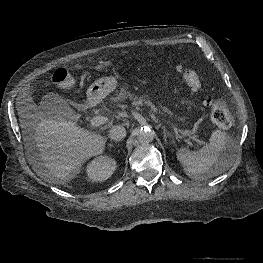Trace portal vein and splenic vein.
Wrapping results in <instances>:
<instances>
[{
    "label": "portal vein and splenic vein",
    "mask_w": 263,
    "mask_h": 263,
    "mask_svg": "<svg viewBox=\"0 0 263 263\" xmlns=\"http://www.w3.org/2000/svg\"><path fill=\"white\" fill-rule=\"evenodd\" d=\"M108 121V118L105 116H95L90 120V124L92 127H98L100 125H103L104 123H106ZM185 136H188L189 139L192 138V136H190L189 133H183ZM189 145H192V143L189 141L188 142Z\"/></svg>",
    "instance_id": "18ae733b"
}]
</instances>
